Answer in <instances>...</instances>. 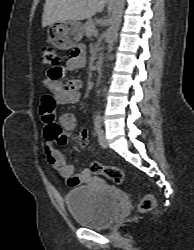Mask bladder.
I'll return each mask as SVG.
<instances>
[{"instance_id":"obj_1","label":"bladder","mask_w":194,"mask_h":250,"mask_svg":"<svg viewBox=\"0 0 194 250\" xmlns=\"http://www.w3.org/2000/svg\"><path fill=\"white\" fill-rule=\"evenodd\" d=\"M65 202L76 224L92 229L109 227L121 209V197L92 186L76 187L65 194Z\"/></svg>"}]
</instances>
